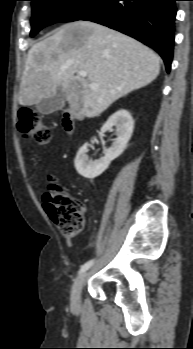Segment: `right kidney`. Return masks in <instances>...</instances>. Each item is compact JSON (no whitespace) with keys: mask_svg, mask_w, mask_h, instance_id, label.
I'll use <instances>...</instances> for the list:
<instances>
[{"mask_svg":"<svg viewBox=\"0 0 193 349\" xmlns=\"http://www.w3.org/2000/svg\"><path fill=\"white\" fill-rule=\"evenodd\" d=\"M113 127L116 128L117 138L106 151L104 157L99 160L89 161L87 155L88 143H85L77 152L74 165L81 176L88 179L98 177L109 167L110 163L119 157L126 149L134 129V121L131 114L125 109L118 110L109 117L102 126L101 131L106 132Z\"/></svg>","mask_w":193,"mask_h":349,"instance_id":"obj_1","label":"right kidney"}]
</instances>
